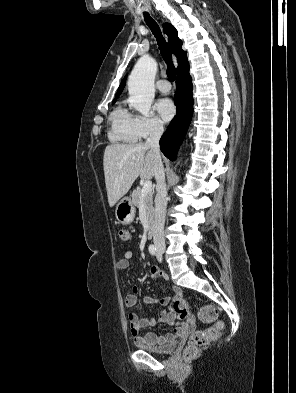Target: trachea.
Here are the masks:
<instances>
[{
	"label": "trachea",
	"mask_w": 296,
	"mask_h": 393,
	"mask_svg": "<svg viewBox=\"0 0 296 393\" xmlns=\"http://www.w3.org/2000/svg\"><path fill=\"white\" fill-rule=\"evenodd\" d=\"M145 21L152 33L156 37L157 43L159 45L160 53L167 64V76L171 81H174L176 78V69L172 63L171 52L167 46L165 39L162 36V33L159 29L157 23L149 16L147 12L144 13Z\"/></svg>",
	"instance_id": "trachea-1"
}]
</instances>
